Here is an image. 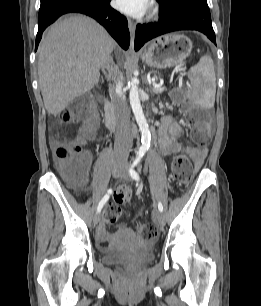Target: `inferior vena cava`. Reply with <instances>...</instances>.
I'll return each mask as SVG.
<instances>
[{"label":"inferior vena cava","mask_w":261,"mask_h":306,"mask_svg":"<svg viewBox=\"0 0 261 306\" xmlns=\"http://www.w3.org/2000/svg\"><path fill=\"white\" fill-rule=\"evenodd\" d=\"M113 83L110 84V97L114 106L115 118L117 122V131L123 136V141L116 147V152L128 156L131 150V122L129 107L123 91V75L118 67L110 76Z\"/></svg>","instance_id":"obj_1"}]
</instances>
